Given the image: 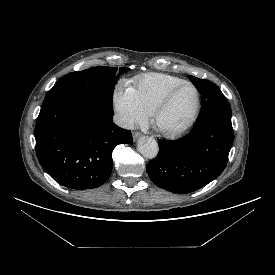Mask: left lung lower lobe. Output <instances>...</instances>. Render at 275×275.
<instances>
[{
  "label": "left lung lower lobe",
  "instance_id": "1",
  "mask_svg": "<svg viewBox=\"0 0 275 275\" xmlns=\"http://www.w3.org/2000/svg\"><path fill=\"white\" fill-rule=\"evenodd\" d=\"M233 140L230 118L195 125L178 140H158L159 153L147 164V173L160 188L193 192L223 172Z\"/></svg>",
  "mask_w": 275,
  "mask_h": 275
}]
</instances>
